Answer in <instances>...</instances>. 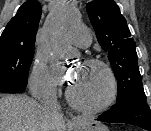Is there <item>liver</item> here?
I'll use <instances>...</instances> for the list:
<instances>
[{"instance_id": "1", "label": "liver", "mask_w": 151, "mask_h": 131, "mask_svg": "<svg viewBox=\"0 0 151 131\" xmlns=\"http://www.w3.org/2000/svg\"><path fill=\"white\" fill-rule=\"evenodd\" d=\"M64 121L25 95H5L0 99V131H64Z\"/></svg>"}]
</instances>
